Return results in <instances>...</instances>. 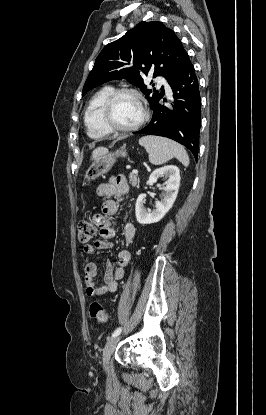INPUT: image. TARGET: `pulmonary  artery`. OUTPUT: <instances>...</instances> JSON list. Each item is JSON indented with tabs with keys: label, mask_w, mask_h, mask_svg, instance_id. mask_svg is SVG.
I'll return each mask as SVG.
<instances>
[{
	"label": "pulmonary artery",
	"mask_w": 266,
	"mask_h": 415,
	"mask_svg": "<svg viewBox=\"0 0 266 415\" xmlns=\"http://www.w3.org/2000/svg\"><path fill=\"white\" fill-rule=\"evenodd\" d=\"M157 81L160 85H163L167 91H170L169 86L162 78H158Z\"/></svg>",
	"instance_id": "1"
}]
</instances>
